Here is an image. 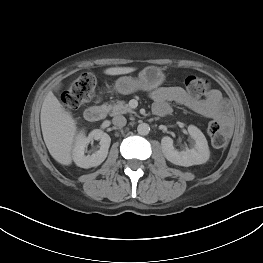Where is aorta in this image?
<instances>
[{"instance_id": "1", "label": "aorta", "mask_w": 263, "mask_h": 263, "mask_svg": "<svg viewBox=\"0 0 263 263\" xmlns=\"http://www.w3.org/2000/svg\"><path fill=\"white\" fill-rule=\"evenodd\" d=\"M138 134L148 135L150 132V126L147 123H140L137 127Z\"/></svg>"}]
</instances>
